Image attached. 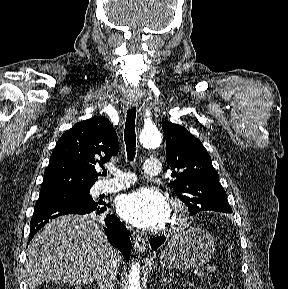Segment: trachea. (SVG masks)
I'll return each mask as SVG.
<instances>
[{
    "mask_svg": "<svg viewBox=\"0 0 288 289\" xmlns=\"http://www.w3.org/2000/svg\"><path fill=\"white\" fill-rule=\"evenodd\" d=\"M135 118L136 108L133 107L127 110V118L124 129V141L126 144L127 158L130 161L133 160L136 150ZM103 175L106 176L107 172L104 171Z\"/></svg>",
    "mask_w": 288,
    "mask_h": 289,
    "instance_id": "1",
    "label": "trachea"
}]
</instances>
